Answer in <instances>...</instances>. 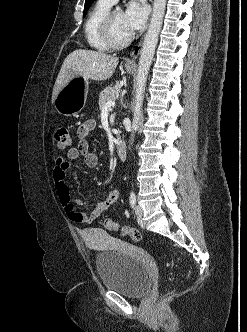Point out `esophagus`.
I'll use <instances>...</instances> for the list:
<instances>
[{"label":"esophagus","mask_w":247,"mask_h":332,"mask_svg":"<svg viewBox=\"0 0 247 332\" xmlns=\"http://www.w3.org/2000/svg\"><path fill=\"white\" fill-rule=\"evenodd\" d=\"M151 2H153V0H150ZM142 41H143V37L141 38V40L139 41V43L136 45V47L133 49L130 58L126 61V65L128 66H133L135 65V61L139 55L141 46H142Z\"/></svg>","instance_id":"1"}]
</instances>
